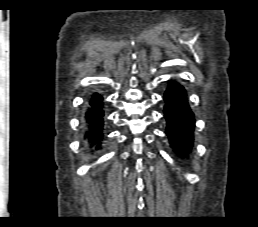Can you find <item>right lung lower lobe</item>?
Returning a JSON list of instances; mask_svg holds the SVG:
<instances>
[{"label": "right lung lower lobe", "instance_id": "98d812e1", "mask_svg": "<svg viewBox=\"0 0 258 227\" xmlns=\"http://www.w3.org/2000/svg\"><path fill=\"white\" fill-rule=\"evenodd\" d=\"M87 127L86 136L93 145H96V150L101 149V142L104 136V111L103 97L95 93L88 103V108L84 116Z\"/></svg>", "mask_w": 258, "mask_h": 227}]
</instances>
